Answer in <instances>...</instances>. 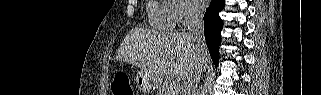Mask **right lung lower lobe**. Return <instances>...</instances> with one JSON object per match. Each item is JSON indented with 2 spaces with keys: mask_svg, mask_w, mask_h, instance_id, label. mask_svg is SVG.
Returning <instances> with one entry per match:
<instances>
[{
  "mask_svg": "<svg viewBox=\"0 0 321 95\" xmlns=\"http://www.w3.org/2000/svg\"><path fill=\"white\" fill-rule=\"evenodd\" d=\"M225 0H212L204 15V34L213 63L218 66L219 45L223 21L219 12L224 8Z\"/></svg>",
  "mask_w": 321,
  "mask_h": 95,
  "instance_id": "obj_1",
  "label": "right lung lower lobe"
}]
</instances>
